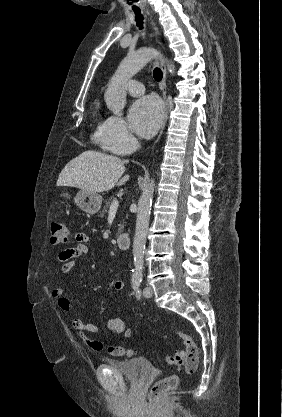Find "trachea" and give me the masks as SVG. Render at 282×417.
<instances>
[{"label":"trachea","instance_id":"1","mask_svg":"<svg viewBox=\"0 0 282 417\" xmlns=\"http://www.w3.org/2000/svg\"><path fill=\"white\" fill-rule=\"evenodd\" d=\"M134 12L136 15L135 19H136L137 25L138 27L142 28L143 16L141 15L140 10H134ZM153 77L157 82H160V80H162V77H163L162 70H160V68H155Z\"/></svg>","mask_w":282,"mask_h":417}]
</instances>
